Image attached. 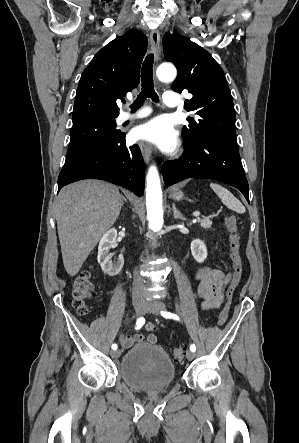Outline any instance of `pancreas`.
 Wrapping results in <instances>:
<instances>
[{
  "label": "pancreas",
  "instance_id": "pancreas-1",
  "mask_svg": "<svg viewBox=\"0 0 299 443\" xmlns=\"http://www.w3.org/2000/svg\"><path fill=\"white\" fill-rule=\"evenodd\" d=\"M198 222L200 223L201 227L204 229L211 228L212 221L209 218L198 219Z\"/></svg>",
  "mask_w": 299,
  "mask_h": 443
}]
</instances>
